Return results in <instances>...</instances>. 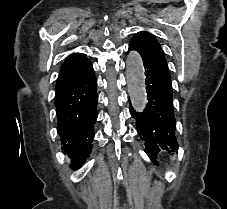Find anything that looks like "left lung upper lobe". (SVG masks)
<instances>
[{"instance_id":"left-lung-upper-lobe-1","label":"left lung upper lobe","mask_w":227,"mask_h":209,"mask_svg":"<svg viewBox=\"0 0 227 209\" xmlns=\"http://www.w3.org/2000/svg\"><path fill=\"white\" fill-rule=\"evenodd\" d=\"M138 51L143 62L159 68L162 72L170 77L167 61L160 44L152 34L141 31L133 36L129 47Z\"/></svg>"}]
</instances>
